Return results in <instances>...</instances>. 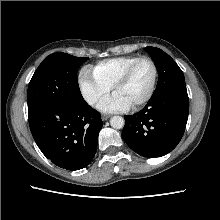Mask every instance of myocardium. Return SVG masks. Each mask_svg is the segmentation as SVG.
Listing matches in <instances>:
<instances>
[{
  "mask_svg": "<svg viewBox=\"0 0 220 220\" xmlns=\"http://www.w3.org/2000/svg\"><path fill=\"white\" fill-rule=\"evenodd\" d=\"M142 61H148L152 65L153 78L148 93L143 99H141L139 102L131 106V108L133 109H137L148 103L155 93L157 81H158V67L156 62L151 57L148 56L139 57L127 67V69L123 72V74L116 80V82L113 85V91L115 92L120 86L124 85L129 80L136 66Z\"/></svg>",
  "mask_w": 220,
  "mask_h": 220,
  "instance_id": "myocardium-1",
  "label": "myocardium"
}]
</instances>
